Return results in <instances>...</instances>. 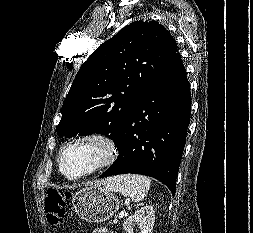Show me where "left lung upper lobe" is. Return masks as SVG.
Instances as JSON below:
<instances>
[{
    "label": "left lung upper lobe",
    "mask_w": 253,
    "mask_h": 233,
    "mask_svg": "<svg viewBox=\"0 0 253 233\" xmlns=\"http://www.w3.org/2000/svg\"><path fill=\"white\" fill-rule=\"evenodd\" d=\"M177 48L156 21L125 26L80 67L63 103L57 134L100 133L116 143L125 119L161 78Z\"/></svg>",
    "instance_id": "1"
}]
</instances>
